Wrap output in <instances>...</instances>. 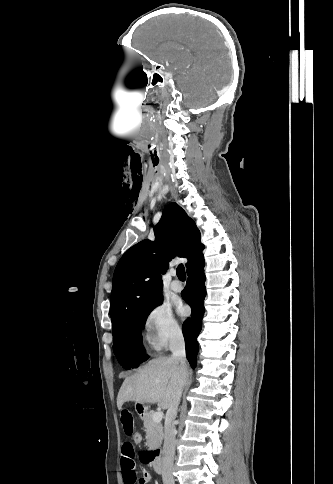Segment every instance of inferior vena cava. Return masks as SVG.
I'll return each mask as SVG.
<instances>
[{
  "label": "inferior vena cava",
  "instance_id": "602c4592",
  "mask_svg": "<svg viewBox=\"0 0 333 484\" xmlns=\"http://www.w3.org/2000/svg\"><path fill=\"white\" fill-rule=\"evenodd\" d=\"M169 348L172 352L171 358L178 361L182 369H186L185 342L182 331L175 330L169 340ZM183 385L178 389L172 405L167 411L165 423V435L162 451V480L163 484H175L173 478V463L175 455V419L177 416L178 405L181 400Z\"/></svg>",
  "mask_w": 333,
  "mask_h": 484
}]
</instances>
